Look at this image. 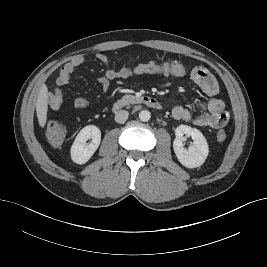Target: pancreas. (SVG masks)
<instances>
[{
    "instance_id": "obj_1",
    "label": "pancreas",
    "mask_w": 267,
    "mask_h": 267,
    "mask_svg": "<svg viewBox=\"0 0 267 267\" xmlns=\"http://www.w3.org/2000/svg\"><path fill=\"white\" fill-rule=\"evenodd\" d=\"M123 98L126 99V100H132V99H134L135 97L132 96V95H125Z\"/></svg>"
}]
</instances>
